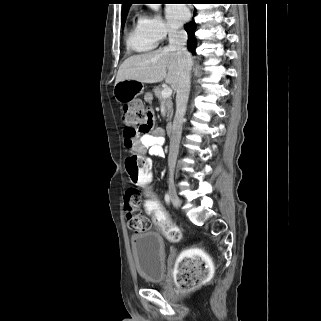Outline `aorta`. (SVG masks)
I'll use <instances>...</instances> for the list:
<instances>
[{
	"label": "aorta",
	"instance_id": "obj_1",
	"mask_svg": "<svg viewBox=\"0 0 321 321\" xmlns=\"http://www.w3.org/2000/svg\"><path fill=\"white\" fill-rule=\"evenodd\" d=\"M151 5H154L155 7H157L158 4H151Z\"/></svg>",
	"mask_w": 321,
	"mask_h": 321
}]
</instances>
